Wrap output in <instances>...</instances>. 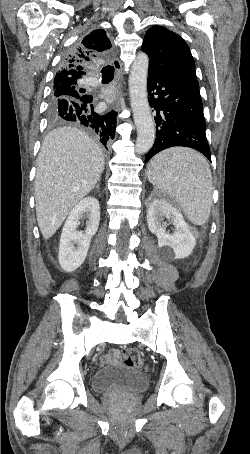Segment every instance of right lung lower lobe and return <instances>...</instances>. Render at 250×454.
<instances>
[{"mask_svg":"<svg viewBox=\"0 0 250 454\" xmlns=\"http://www.w3.org/2000/svg\"><path fill=\"white\" fill-rule=\"evenodd\" d=\"M56 114L64 121L77 122L85 126L92 134L100 139L106 147L107 143L115 136L116 113L111 111L105 115L94 112L92 96L81 100L69 102L66 98H60L57 104L52 106Z\"/></svg>","mask_w":250,"mask_h":454,"instance_id":"right-lung-lower-lobe-1","label":"right lung lower lobe"}]
</instances>
